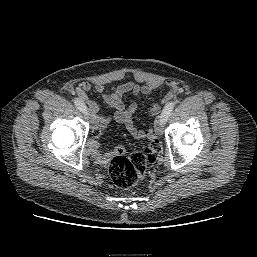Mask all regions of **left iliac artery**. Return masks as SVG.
Returning a JSON list of instances; mask_svg holds the SVG:
<instances>
[{
	"instance_id": "obj_1",
	"label": "left iliac artery",
	"mask_w": 257,
	"mask_h": 257,
	"mask_svg": "<svg viewBox=\"0 0 257 257\" xmlns=\"http://www.w3.org/2000/svg\"><path fill=\"white\" fill-rule=\"evenodd\" d=\"M175 106L174 102H169L163 109L161 117H163L165 120H167V118L169 117V115L171 114V112L173 111Z\"/></svg>"
}]
</instances>
